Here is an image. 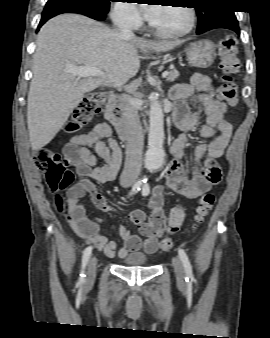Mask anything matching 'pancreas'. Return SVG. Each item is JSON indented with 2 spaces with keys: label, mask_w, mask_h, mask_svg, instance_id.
I'll return each instance as SVG.
<instances>
[{
  "label": "pancreas",
  "mask_w": 270,
  "mask_h": 338,
  "mask_svg": "<svg viewBox=\"0 0 270 338\" xmlns=\"http://www.w3.org/2000/svg\"><path fill=\"white\" fill-rule=\"evenodd\" d=\"M180 76V73L176 70L173 69L169 72L168 76H167V81L168 82H173L175 81L178 77Z\"/></svg>",
  "instance_id": "cf45deb5"
}]
</instances>
